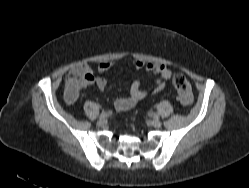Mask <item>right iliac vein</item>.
<instances>
[{
    "instance_id": "63e3f726",
    "label": "right iliac vein",
    "mask_w": 249,
    "mask_h": 188,
    "mask_svg": "<svg viewBox=\"0 0 249 188\" xmlns=\"http://www.w3.org/2000/svg\"><path fill=\"white\" fill-rule=\"evenodd\" d=\"M97 124H98V126L103 127V126L106 125V120H105V119H99V120L97 121Z\"/></svg>"
}]
</instances>
